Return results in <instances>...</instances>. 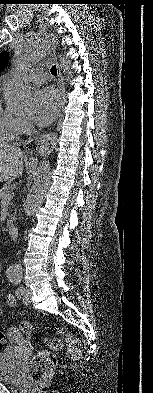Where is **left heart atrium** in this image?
Segmentation results:
<instances>
[{
  "instance_id": "left-heart-atrium-1",
  "label": "left heart atrium",
  "mask_w": 153,
  "mask_h": 393,
  "mask_svg": "<svg viewBox=\"0 0 153 393\" xmlns=\"http://www.w3.org/2000/svg\"><path fill=\"white\" fill-rule=\"evenodd\" d=\"M61 104L59 92L53 87L39 90L34 98L32 119L38 126H46L56 117Z\"/></svg>"
}]
</instances>
